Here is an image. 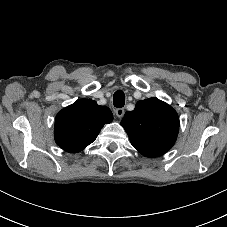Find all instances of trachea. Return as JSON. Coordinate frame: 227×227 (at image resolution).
I'll return each mask as SVG.
<instances>
[{"mask_svg":"<svg viewBox=\"0 0 227 227\" xmlns=\"http://www.w3.org/2000/svg\"><path fill=\"white\" fill-rule=\"evenodd\" d=\"M113 102L114 106L117 108H121L125 104V95L124 92L121 90H118L113 95Z\"/></svg>","mask_w":227,"mask_h":227,"instance_id":"1","label":"trachea"}]
</instances>
